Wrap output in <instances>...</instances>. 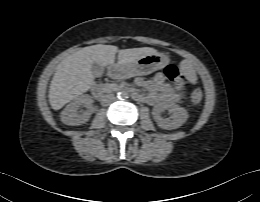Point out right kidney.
I'll list each match as a JSON object with an SVG mask.
<instances>
[{
    "mask_svg": "<svg viewBox=\"0 0 260 202\" xmlns=\"http://www.w3.org/2000/svg\"><path fill=\"white\" fill-rule=\"evenodd\" d=\"M92 97L88 94L81 95L75 98L61 112V121L70 126L81 125L88 121L92 113ZM86 107V110H81L80 107Z\"/></svg>",
    "mask_w": 260,
    "mask_h": 202,
    "instance_id": "right-kidney-1",
    "label": "right kidney"
}]
</instances>
